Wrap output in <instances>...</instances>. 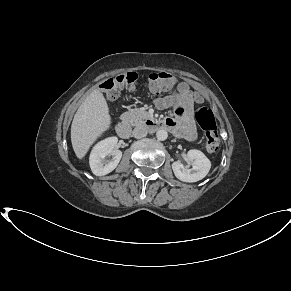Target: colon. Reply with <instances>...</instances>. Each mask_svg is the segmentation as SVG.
Wrapping results in <instances>:
<instances>
[{
    "label": "colon",
    "instance_id": "colon-1",
    "mask_svg": "<svg viewBox=\"0 0 291 291\" xmlns=\"http://www.w3.org/2000/svg\"><path fill=\"white\" fill-rule=\"evenodd\" d=\"M138 75L133 72L119 74L105 80L100 88L109 100L119 97L121 90H132L136 86ZM176 83V76L165 71L153 72L147 75L146 85L152 93H161L171 89ZM196 120L205 134V147L215 152L219 147V135L216 120L212 112L204 107L197 106Z\"/></svg>",
    "mask_w": 291,
    "mask_h": 291
}]
</instances>
